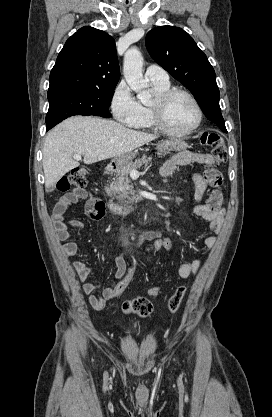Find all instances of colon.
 Instances as JSON below:
<instances>
[{"mask_svg": "<svg viewBox=\"0 0 272 417\" xmlns=\"http://www.w3.org/2000/svg\"><path fill=\"white\" fill-rule=\"evenodd\" d=\"M202 144L208 145L212 149V156L214 162L219 164L226 160L227 158V149L226 145L221 138V136L215 132H205L201 136ZM87 185V172L84 168H75L71 170L66 176H64L58 182V189L61 191H67L73 187L83 188ZM147 242L146 252L149 253H159L167 252L172 249L173 241L169 237L158 236ZM138 265V257L136 255H131L130 264L126 269L125 275L123 278L116 284L114 288V297L121 295L128 285L130 284L133 275L135 273L136 267ZM160 293V286H152L148 290V295L152 298H155ZM186 293V287L180 286L176 289L174 294L170 297L168 302L169 312L174 314L178 311L183 301V298ZM153 310L152 303L148 298L137 297L132 300L126 301L123 304V312L126 314L134 313L140 317H148Z\"/></svg>", "mask_w": 272, "mask_h": 417, "instance_id": "1", "label": "colon"}]
</instances>
